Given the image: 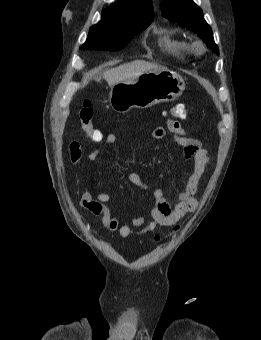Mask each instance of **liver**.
I'll return each mask as SVG.
<instances>
[{
  "mask_svg": "<svg viewBox=\"0 0 261 340\" xmlns=\"http://www.w3.org/2000/svg\"><path fill=\"white\" fill-rule=\"evenodd\" d=\"M162 70L165 69L153 63L144 60H135L105 71L103 73V77L107 81L108 85L112 87L119 82L133 79L142 73Z\"/></svg>",
  "mask_w": 261,
  "mask_h": 340,
  "instance_id": "liver-1",
  "label": "liver"
}]
</instances>
